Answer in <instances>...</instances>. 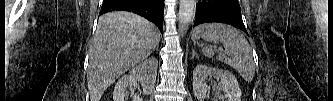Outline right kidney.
<instances>
[{"instance_id": "1", "label": "right kidney", "mask_w": 333, "mask_h": 101, "mask_svg": "<svg viewBox=\"0 0 333 101\" xmlns=\"http://www.w3.org/2000/svg\"><path fill=\"white\" fill-rule=\"evenodd\" d=\"M158 61L155 58H149L136 67H134L129 75L121 77L115 85L113 92L114 101H127L129 92L127 88L136 86L137 80L142 83V89L145 94L153 91ZM133 101H142L140 95L133 94Z\"/></svg>"}]
</instances>
